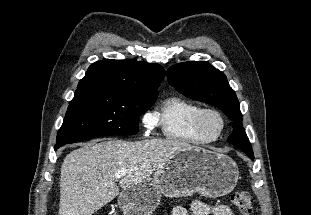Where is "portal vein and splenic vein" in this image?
I'll return each mask as SVG.
<instances>
[{"label":"portal vein and splenic vein","mask_w":311,"mask_h":215,"mask_svg":"<svg viewBox=\"0 0 311 215\" xmlns=\"http://www.w3.org/2000/svg\"><path fill=\"white\" fill-rule=\"evenodd\" d=\"M131 172L132 170L121 169L115 172L114 177L118 179V178L125 176L127 173H131Z\"/></svg>","instance_id":"obj_1"}]
</instances>
